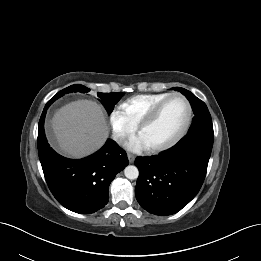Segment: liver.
<instances>
[{
	"label": "liver",
	"instance_id": "6515ba94",
	"mask_svg": "<svg viewBox=\"0 0 261 261\" xmlns=\"http://www.w3.org/2000/svg\"><path fill=\"white\" fill-rule=\"evenodd\" d=\"M59 148L82 158L98 150L109 135L101 107L91 100H78L60 108L52 119Z\"/></svg>",
	"mask_w": 261,
	"mask_h": 261
}]
</instances>
